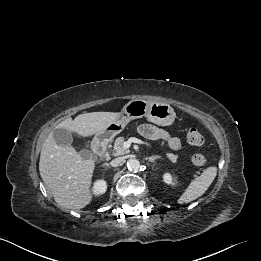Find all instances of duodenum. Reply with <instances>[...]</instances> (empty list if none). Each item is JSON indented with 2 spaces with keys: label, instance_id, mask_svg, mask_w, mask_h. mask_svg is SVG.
I'll list each match as a JSON object with an SVG mask.
<instances>
[{
  "label": "duodenum",
  "instance_id": "duodenum-1",
  "mask_svg": "<svg viewBox=\"0 0 261 261\" xmlns=\"http://www.w3.org/2000/svg\"><path fill=\"white\" fill-rule=\"evenodd\" d=\"M92 151L95 155L103 157L107 151V141L104 139H98L94 141L92 145Z\"/></svg>",
  "mask_w": 261,
  "mask_h": 261
}]
</instances>
